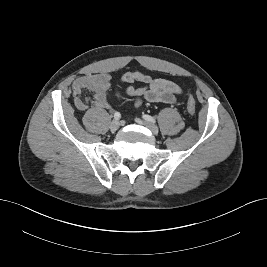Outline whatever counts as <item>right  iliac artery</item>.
<instances>
[{
  "mask_svg": "<svg viewBox=\"0 0 267 267\" xmlns=\"http://www.w3.org/2000/svg\"><path fill=\"white\" fill-rule=\"evenodd\" d=\"M121 118V114L119 112L114 113V119L119 120Z\"/></svg>",
  "mask_w": 267,
  "mask_h": 267,
  "instance_id": "obj_1",
  "label": "right iliac artery"
}]
</instances>
